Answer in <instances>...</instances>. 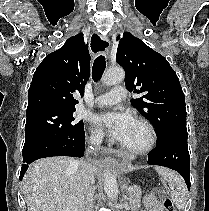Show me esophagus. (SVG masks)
<instances>
[{
    "instance_id": "34e87169",
    "label": "esophagus",
    "mask_w": 209,
    "mask_h": 211,
    "mask_svg": "<svg viewBox=\"0 0 209 211\" xmlns=\"http://www.w3.org/2000/svg\"><path fill=\"white\" fill-rule=\"evenodd\" d=\"M91 48L96 53H104L108 57L110 52V40L105 38L103 41L99 36L93 35L91 38ZM117 147H96V151H90L91 163H117V159H122Z\"/></svg>"
}]
</instances>
